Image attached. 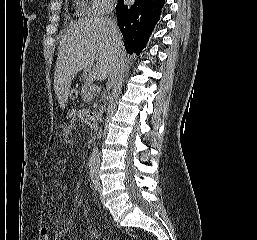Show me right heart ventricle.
Masks as SVG:
<instances>
[{
	"label": "right heart ventricle",
	"mask_w": 257,
	"mask_h": 240,
	"mask_svg": "<svg viewBox=\"0 0 257 240\" xmlns=\"http://www.w3.org/2000/svg\"><path fill=\"white\" fill-rule=\"evenodd\" d=\"M80 7H81V10H82V11H85V10H86L85 7H84V5H82V4L80 5Z\"/></svg>",
	"instance_id": "e07e8e85"
}]
</instances>
